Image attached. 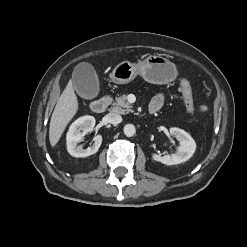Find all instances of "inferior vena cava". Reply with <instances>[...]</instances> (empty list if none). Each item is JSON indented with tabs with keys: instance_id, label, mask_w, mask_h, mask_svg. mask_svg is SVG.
Here are the masks:
<instances>
[{
	"instance_id": "obj_1",
	"label": "inferior vena cava",
	"mask_w": 247,
	"mask_h": 247,
	"mask_svg": "<svg viewBox=\"0 0 247 247\" xmlns=\"http://www.w3.org/2000/svg\"><path fill=\"white\" fill-rule=\"evenodd\" d=\"M105 119L108 123H111V124H119L122 122V117L117 114V113H108L106 116H105Z\"/></svg>"
}]
</instances>
